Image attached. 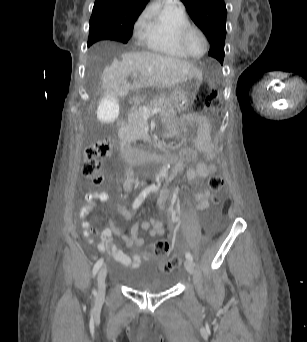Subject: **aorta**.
Instances as JSON below:
<instances>
[{
    "mask_svg": "<svg viewBox=\"0 0 307 342\" xmlns=\"http://www.w3.org/2000/svg\"><path fill=\"white\" fill-rule=\"evenodd\" d=\"M168 168H169V166H167V164H166V166H162V170H160L159 176H166V174L168 172Z\"/></svg>",
    "mask_w": 307,
    "mask_h": 342,
    "instance_id": "762f6f07",
    "label": "aorta"
}]
</instances>
